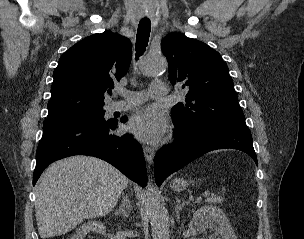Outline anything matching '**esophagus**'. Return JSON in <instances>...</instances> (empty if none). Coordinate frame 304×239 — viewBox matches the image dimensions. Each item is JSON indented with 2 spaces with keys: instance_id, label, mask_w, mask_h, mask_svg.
Listing matches in <instances>:
<instances>
[{
  "instance_id": "1",
  "label": "esophagus",
  "mask_w": 304,
  "mask_h": 239,
  "mask_svg": "<svg viewBox=\"0 0 304 239\" xmlns=\"http://www.w3.org/2000/svg\"><path fill=\"white\" fill-rule=\"evenodd\" d=\"M143 152H144V156H145L147 162L149 164H152L154 156H155L154 149L152 147H149V146H143Z\"/></svg>"
}]
</instances>
